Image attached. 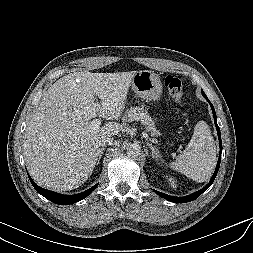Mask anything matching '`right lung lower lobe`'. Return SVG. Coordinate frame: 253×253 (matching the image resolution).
Listing matches in <instances>:
<instances>
[{
	"instance_id": "right-lung-lower-lobe-1",
	"label": "right lung lower lobe",
	"mask_w": 253,
	"mask_h": 253,
	"mask_svg": "<svg viewBox=\"0 0 253 253\" xmlns=\"http://www.w3.org/2000/svg\"><path fill=\"white\" fill-rule=\"evenodd\" d=\"M30 182L32 183L33 187L35 188V190L41 194L42 196H44L45 198H47L48 200H50L53 203L56 204H60V205H67V204H73L76 203L82 199H84L85 197H87L96 187L97 185H94L93 187H91L90 189L79 193V194H75V195H62L53 191H49V190H45L41 187H39L32 179L31 177L28 175Z\"/></svg>"
}]
</instances>
